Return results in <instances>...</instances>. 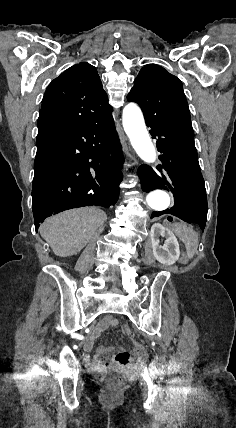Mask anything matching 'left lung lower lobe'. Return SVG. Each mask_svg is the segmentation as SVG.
Instances as JSON below:
<instances>
[{
    "instance_id": "1",
    "label": "left lung lower lobe",
    "mask_w": 236,
    "mask_h": 428,
    "mask_svg": "<svg viewBox=\"0 0 236 428\" xmlns=\"http://www.w3.org/2000/svg\"><path fill=\"white\" fill-rule=\"evenodd\" d=\"M150 134L156 139L163 166L153 170L147 165L138 169L143 191L155 189L171 191L174 206L153 212L151 218L171 214L185 222L196 224L203 231L207 221V196L198 162L194 136L161 121L147 122Z\"/></svg>"
}]
</instances>
